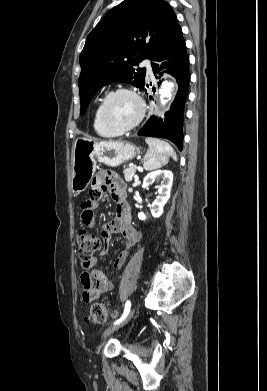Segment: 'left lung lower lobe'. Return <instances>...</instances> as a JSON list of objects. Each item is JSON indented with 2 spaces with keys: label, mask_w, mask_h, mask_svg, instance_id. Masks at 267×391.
I'll return each instance as SVG.
<instances>
[{
  "label": "left lung lower lobe",
  "mask_w": 267,
  "mask_h": 391,
  "mask_svg": "<svg viewBox=\"0 0 267 391\" xmlns=\"http://www.w3.org/2000/svg\"><path fill=\"white\" fill-rule=\"evenodd\" d=\"M150 59L154 61L151 63L153 73L159 75L155 77L161 79L164 73H171L177 80L178 92L165 118L157 119L152 116L138 135L169 139L182 150L183 115L190 73L189 57L180 26H177L165 42L152 53ZM145 87H148V84H144L142 89Z\"/></svg>",
  "instance_id": "obj_1"
}]
</instances>
